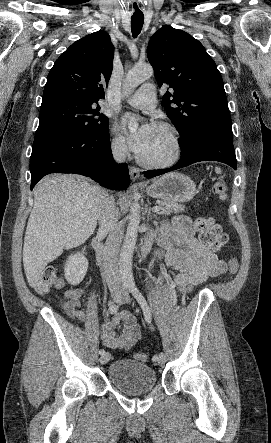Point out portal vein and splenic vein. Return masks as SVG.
<instances>
[{
  "mask_svg": "<svg viewBox=\"0 0 271 443\" xmlns=\"http://www.w3.org/2000/svg\"><path fill=\"white\" fill-rule=\"evenodd\" d=\"M153 212H160L161 210V206H154V208H152Z\"/></svg>",
  "mask_w": 271,
  "mask_h": 443,
  "instance_id": "portal-vein-and-splenic-vein-1",
  "label": "portal vein and splenic vein"
}]
</instances>
